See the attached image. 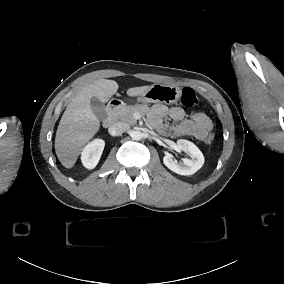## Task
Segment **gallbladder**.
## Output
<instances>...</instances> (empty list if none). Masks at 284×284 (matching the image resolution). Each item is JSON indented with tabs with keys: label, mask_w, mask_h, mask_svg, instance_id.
Segmentation results:
<instances>
[{
	"label": "gallbladder",
	"mask_w": 284,
	"mask_h": 284,
	"mask_svg": "<svg viewBox=\"0 0 284 284\" xmlns=\"http://www.w3.org/2000/svg\"><path fill=\"white\" fill-rule=\"evenodd\" d=\"M92 108L94 111V114L100 119V120H106L107 119V111L106 108L96 99H92Z\"/></svg>",
	"instance_id": "bac80fb5"
}]
</instances>
